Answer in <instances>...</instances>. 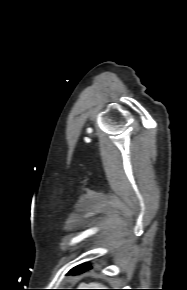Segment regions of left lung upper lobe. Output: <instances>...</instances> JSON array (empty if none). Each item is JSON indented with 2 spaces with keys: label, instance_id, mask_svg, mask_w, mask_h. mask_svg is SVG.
<instances>
[{
  "label": "left lung upper lobe",
  "instance_id": "obj_1",
  "mask_svg": "<svg viewBox=\"0 0 187 290\" xmlns=\"http://www.w3.org/2000/svg\"><path fill=\"white\" fill-rule=\"evenodd\" d=\"M84 264H87V263H84ZM84 264H81V265H79V266L75 267L73 270H76V269H78L79 267H81V266H82V265H84Z\"/></svg>",
  "mask_w": 187,
  "mask_h": 290
}]
</instances>
